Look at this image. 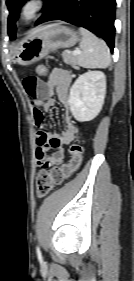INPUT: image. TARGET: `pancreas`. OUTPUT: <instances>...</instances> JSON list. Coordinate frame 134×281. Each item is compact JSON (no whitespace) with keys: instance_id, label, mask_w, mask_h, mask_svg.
<instances>
[{"instance_id":"1","label":"pancreas","mask_w":134,"mask_h":281,"mask_svg":"<svg viewBox=\"0 0 134 281\" xmlns=\"http://www.w3.org/2000/svg\"><path fill=\"white\" fill-rule=\"evenodd\" d=\"M62 57H63V61L66 64L71 65L74 69L77 70L79 69V67L77 66L78 57L76 55H73V53L71 52H63Z\"/></svg>"}]
</instances>
